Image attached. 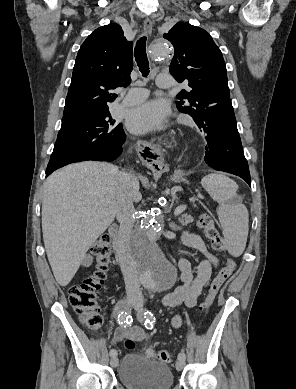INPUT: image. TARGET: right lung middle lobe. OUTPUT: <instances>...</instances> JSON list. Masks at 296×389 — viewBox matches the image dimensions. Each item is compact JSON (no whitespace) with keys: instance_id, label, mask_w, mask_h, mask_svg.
<instances>
[{"instance_id":"1","label":"right lung middle lobe","mask_w":296,"mask_h":389,"mask_svg":"<svg viewBox=\"0 0 296 389\" xmlns=\"http://www.w3.org/2000/svg\"><path fill=\"white\" fill-rule=\"evenodd\" d=\"M123 138L122 125L112 119L109 110L63 117L47 168L70 163L87 153L112 150Z\"/></svg>"}]
</instances>
